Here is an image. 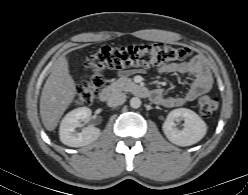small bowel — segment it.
Segmentation results:
<instances>
[{
  "label": "small bowel",
  "mask_w": 248,
  "mask_h": 195,
  "mask_svg": "<svg viewBox=\"0 0 248 195\" xmlns=\"http://www.w3.org/2000/svg\"><path fill=\"white\" fill-rule=\"evenodd\" d=\"M159 71L161 73L181 74L192 78V83L184 94L166 96L162 89H156L152 92L153 100L167 108L184 106L209 91L212 87L211 73L204 60L200 57H194L186 62L164 65ZM129 73V71H119L118 75L125 76Z\"/></svg>",
  "instance_id": "1"
}]
</instances>
